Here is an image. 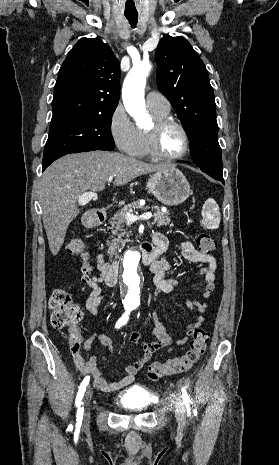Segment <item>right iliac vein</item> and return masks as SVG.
Listing matches in <instances>:
<instances>
[{"label": "right iliac vein", "instance_id": "right-iliac-vein-1", "mask_svg": "<svg viewBox=\"0 0 279 465\" xmlns=\"http://www.w3.org/2000/svg\"><path fill=\"white\" fill-rule=\"evenodd\" d=\"M91 400V391L88 390L85 394V397H84V405L87 407L89 405V402ZM89 419H90V413L88 410L85 411L84 413V419H83V423L86 425L89 423Z\"/></svg>", "mask_w": 279, "mask_h": 465}]
</instances>
